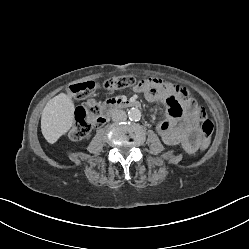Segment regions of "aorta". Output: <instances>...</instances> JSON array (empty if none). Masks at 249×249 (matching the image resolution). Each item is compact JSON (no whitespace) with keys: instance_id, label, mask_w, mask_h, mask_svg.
<instances>
[{"instance_id":"762f6f07","label":"aorta","mask_w":249,"mask_h":249,"mask_svg":"<svg viewBox=\"0 0 249 249\" xmlns=\"http://www.w3.org/2000/svg\"><path fill=\"white\" fill-rule=\"evenodd\" d=\"M128 117L130 120L138 121L141 118V111L138 108H131L128 111Z\"/></svg>"}]
</instances>
